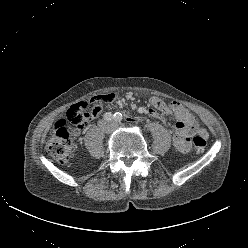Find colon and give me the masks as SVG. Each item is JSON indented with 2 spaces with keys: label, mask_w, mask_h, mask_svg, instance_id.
Masks as SVG:
<instances>
[{
  "label": "colon",
  "mask_w": 248,
  "mask_h": 248,
  "mask_svg": "<svg viewBox=\"0 0 248 248\" xmlns=\"http://www.w3.org/2000/svg\"><path fill=\"white\" fill-rule=\"evenodd\" d=\"M114 100L112 94L100 95L87 101L72 105L66 112L65 118L59 119L53 131L46 141V150L53 159L65 165L69 162L73 149L77 129L86 128L99 110V103H111ZM72 125L75 129L70 128ZM207 144V133L199 128L193 137V146L196 152L204 151Z\"/></svg>",
  "instance_id": "1"
}]
</instances>
